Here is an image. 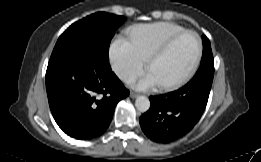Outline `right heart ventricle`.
Instances as JSON below:
<instances>
[{"instance_id":"obj_1","label":"right heart ventricle","mask_w":261,"mask_h":162,"mask_svg":"<svg viewBox=\"0 0 261 162\" xmlns=\"http://www.w3.org/2000/svg\"><path fill=\"white\" fill-rule=\"evenodd\" d=\"M185 30L172 22L141 24L128 30V37L137 53L147 59L164 41L172 35Z\"/></svg>"}]
</instances>
